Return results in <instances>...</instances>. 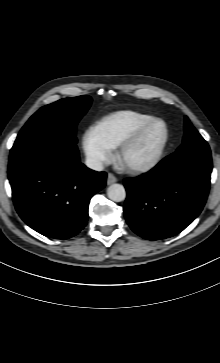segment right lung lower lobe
Returning <instances> with one entry per match:
<instances>
[{
  "label": "right lung lower lobe",
  "mask_w": 220,
  "mask_h": 363,
  "mask_svg": "<svg viewBox=\"0 0 220 363\" xmlns=\"http://www.w3.org/2000/svg\"><path fill=\"white\" fill-rule=\"evenodd\" d=\"M8 178L23 221L40 234L68 239L86 225L91 197L106 184V173L80 162L70 139L49 136L10 154Z\"/></svg>",
  "instance_id": "right-lung-lower-lobe-1"
}]
</instances>
